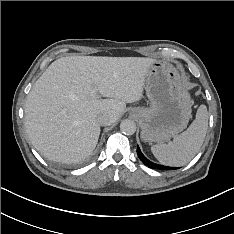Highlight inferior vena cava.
<instances>
[{
  "mask_svg": "<svg viewBox=\"0 0 234 234\" xmlns=\"http://www.w3.org/2000/svg\"><path fill=\"white\" fill-rule=\"evenodd\" d=\"M97 122L101 125V126H105V125H108L110 123V117L107 113H103V114H100L98 117H97Z\"/></svg>",
  "mask_w": 234,
  "mask_h": 234,
  "instance_id": "602c4592",
  "label": "inferior vena cava"
}]
</instances>
